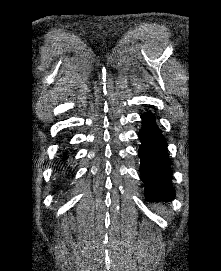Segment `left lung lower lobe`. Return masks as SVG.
I'll return each mask as SVG.
<instances>
[{"mask_svg":"<svg viewBox=\"0 0 221 271\" xmlns=\"http://www.w3.org/2000/svg\"><path fill=\"white\" fill-rule=\"evenodd\" d=\"M142 128L139 132L141 146L140 172L146 185L145 196L148 201H170L175 196L171 184L170 165L172 164L166 148V140L158 128L151 112L141 115Z\"/></svg>","mask_w":221,"mask_h":271,"instance_id":"left-lung-lower-lobe-1","label":"left lung lower lobe"}]
</instances>
